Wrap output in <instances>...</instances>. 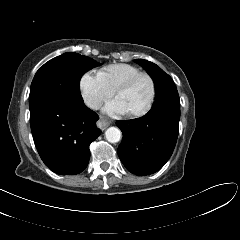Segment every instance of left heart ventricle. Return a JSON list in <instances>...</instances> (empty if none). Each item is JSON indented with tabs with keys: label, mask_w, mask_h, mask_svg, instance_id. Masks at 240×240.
<instances>
[{
	"label": "left heart ventricle",
	"mask_w": 240,
	"mask_h": 240,
	"mask_svg": "<svg viewBox=\"0 0 240 240\" xmlns=\"http://www.w3.org/2000/svg\"><path fill=\"white\" fill-rule=\"evenodd\" d=\"M152 93V85L147 77H141L130 88L121 92L120 98L128 108V112L141 110L148 103Z\"/></svg>",
	"instance_id": "b2bd125f"
}]
</instances>
